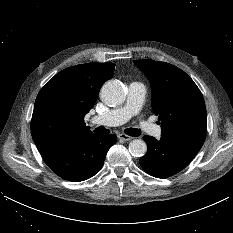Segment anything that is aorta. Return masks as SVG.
<instances>
[{
  "mask_svg": "<svg viewBox=\"0 0 233 233\" xmlns=\"http://www.w3.org/2000/svg\"><path fill=\"white\" fill-rule=\"evenodd\" d=\"M101 98L110 106L122 104L126 99L124 85L118 80H109L101 88ZM129 152L134 157H142L147 152V145L141 139H134L129 144Z\"/></svg>",
  "mask_w": 233,
  "mask_h": 233,
  "instance_id": "aorta-1",
  "label": "aorta"
}]
</instances>
